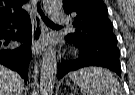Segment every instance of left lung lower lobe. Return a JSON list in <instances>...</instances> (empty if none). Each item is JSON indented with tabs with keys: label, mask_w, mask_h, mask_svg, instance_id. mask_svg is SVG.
<instances>
[{
	"label": "left lung lower lobe",
	"mask_w": 135,
	"mask_h": 95,
	"mask_svg": "<svg viewBox=\"0 0 135 95\" xmlns=\"http://www.w3.org/2000/svg\"><path fill=\"white\" fill-rule=\"evenodd\" d=\"M66 40L73 43L79 49V58L76 60L61 59L57 75L58 80L70 71L87 66L105 67L121 76L120 53L117 48V42L115 43L112 40H97L91 43L80 44L68 39Z\"/></svg>",
	"instance_id": "1"
}]
</instances>
